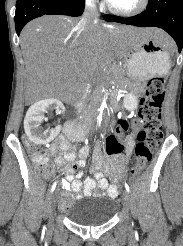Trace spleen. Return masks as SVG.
<instances>
[{"label":"spleen","mask_w":183,"mask_h":246,"mask_svg":"<svg viewBox=\"0 0 183 246\" xmlns=\"http://www.w3.org/2000/svg\"><path fill=\"white\" fill-rule=\"evenodd\" d=\"M140 59H143V61H145V60L147 59V57H146L145 55H143V56H141ZM169 68H170V64H169ZM169 68H168V70H169ZM167 72H168V71H167Z\"/></svg>","instance_id":"3e777b00"}]
</instances>
